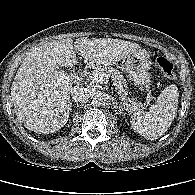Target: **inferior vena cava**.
<instances>
[{
    "label": "inferior vena cava",
    "instance_id": "1",
    "mask_svg": "<svg viewBox=\"0 0 195 195\" xmlns=\"http://www.w3.org/2000/svg\"><path fill=\"white\" fill-rule=\"evenodd\" d=\"M71 95L75 102L85 103L90 98L91 92L83 86H74Z\"/></svg>",
    "mask_w": 195,
    "mask_h": 195
}]
</instances>
